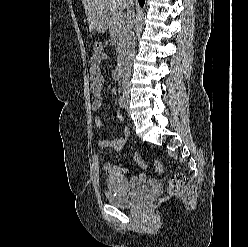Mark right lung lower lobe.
<instances>
[{
    "label": "right lung lower lobe",
    "instance_id": "98d812e1",
    "mask_svg": "<svg viewBox=\"0 0 248 247\" xmlns=\"http://www.w3.org/2000/svg\"><path fill=\"white\" fill-rule=\"evenodd\" d=\"M138 1H139V4H140L141 6H143L144 3H145V0H138Z\"/></svg>",
    "mask_w": 248,
    "mask_h": 247
}]
</instances>
